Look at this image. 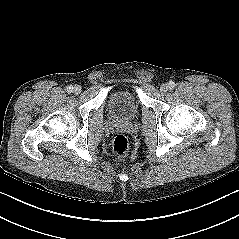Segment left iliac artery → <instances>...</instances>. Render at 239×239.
<instances>
[{"instance_id":"1","label":"left iliac artery","mask_w":239,"mask_h":239,"mask_svg":"<svg viewBox=\"0 0 239 239\" xmlns=\"http://www.w3.org/2000/svg\"><path fill=\"white\" fill-rule=\"evenodd\" d=\"M168 87H169V89H173V88L175 87V82L170 81V82L168 83Z\"/></svg>"}]
</instances>
